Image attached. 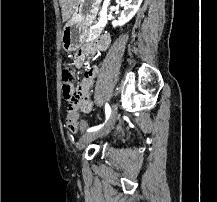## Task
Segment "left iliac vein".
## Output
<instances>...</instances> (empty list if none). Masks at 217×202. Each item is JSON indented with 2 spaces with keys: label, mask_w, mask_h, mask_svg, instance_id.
Instances as JSON below:
<instances>
[{
  "label": "left iliac vein",
  "mask_w": 217,
  "mask_h": 202,
  "mask_svg": "<svg viewBox=\"0 0 217 202\" xmlns=\"http://www.w3.org/2000/svg\"><path fill=\"white\" fill-rule=\"evenodd\" d=\"M117 115H118L117 105H116V103H113L112 107H111V114H110L109 119L107 120V123L101 129H99L95 132L83 135L78 141V144H77L78 148L82 149L85 147V145H87L88 143H90L94 139H97V138L102 137L105 134H107L111 130L113 125L115 124V121L117 119Z\"/></svg>",
  "instance_id": "1"
}]
</instances>
